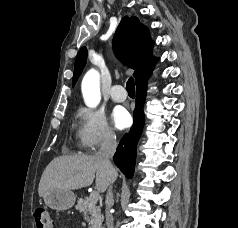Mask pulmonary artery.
Instances as JSON below:
<instances>
[{
  "instance_id": "e3ab8cb5",
  "label": "pulmonary artery",
  "mask_w": 238,
  "mask_h": 228,
  "mask_svg": "<svg viewBox=\"0 0 238 228\" xmlns=\"http://www.w3.org/2000/svg\"><path fill=\"white\" fill-rule=\"evenodd\" d=\"M110 96H111L112 100H114L116 102H123L126 99L127 94H126L123 86L114 85L110 90Z\"/></svg>"
}]
</instances>
